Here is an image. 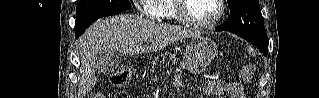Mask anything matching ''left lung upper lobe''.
I'll return each instance as SVG.
<instances>
[{
	"label": "left lung upper lobe",
	"instance_id": "obj_1",
	"mask_svg": "<svg viewBox=\"0 0 319 98\" xmlns=\"http://www.w3.org/2000/svg\"><path fill=\"white\" fill-rule=\"evenodd\" d=\"M229 19L220 27L250 42L268 44L258 0H227Z\"/></svg>",
	"mask_w": 319,
	"mask_h": 98
}]
</instances>
